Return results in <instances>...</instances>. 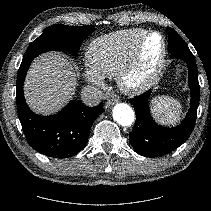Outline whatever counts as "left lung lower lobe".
I'll use <instances>...</instances> for the list:
<instances>
[{"mask_svg":"<svg viewBox=\"0 0 211 211\" xmlns=\"http://www.w3.org/2000/svg\"><path fill=\"white\" fill-rule=\"evenodd\" d=\"M168 38L171 58L183 60L188 66L190 109L180 125L167 128L156 124L150 115L148 105L150 91L131 100L136 114V122L129 135V140L134 150L145 157L164 155L181 146L191 135L196 121L200 87L195 58L189 48H182L183 40L177 33H169Z\"/></svg>","mask_w":211,"mask_h":211,"instance_id":"obj_1","label":"left lung lower lobe"}]
</instances>
